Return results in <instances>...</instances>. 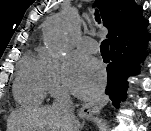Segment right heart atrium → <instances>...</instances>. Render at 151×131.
I'll return each instance as SVG.
<instances>
[{"label":"right heart atrium","instance_id":"1","mask_svg":"<svg viewBox=\"0 0 151 131\" xmlns=\"http://www.w3.org/2000/svg\"><path fill=\"white\" fill-rule=\"evenodd\" d=\"M44 62V73L47 92L53 96L63 95L67 92L65 67L60 60L47 57Z\"/></svg>","mask_w":151,"mask_h":131}]
</instances>
